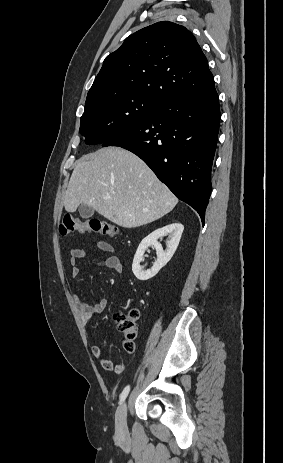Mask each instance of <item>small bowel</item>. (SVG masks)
Segmentation results:
<instances>
[{"mask_svg": "<svg viewBox=\"0 0 283 463\" xmlns=\"http://www.w3.org/2000/svg\"><path fill=\"white\" fill-rule=\"evenodd\" d=\"M97 248L107 257L96 264V267L99 268H108L116 272H121L122 262L118 256H116L114 247L105 241H98L96 243ZM86 252L83 248H72L70 251V265L72 267V275L74 277L79 274L78 261L84 258ZM75 304L80 311L82 319L84 322H88L95 315L102 313L108 306V301L106 299H101L95 305H89L80 295H74ZM91 352L93 356L99 360L105 370L113 371L116 374H121L125 370L124 363L115 364L112 360L107 358L104 354L102 347L94 345L91 347Z\"/></svg>", "mask_w": 283, "mask_h": 463, "instance_id": "1", "label": "small bowel"}]
</instances>
